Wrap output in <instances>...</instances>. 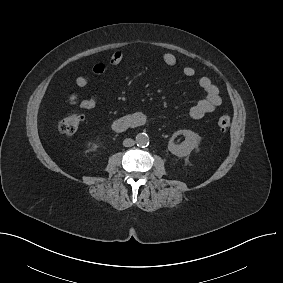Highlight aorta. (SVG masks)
<instances>
[{
  "label": "aorta",
  "instance_id": "1",
  "mask_svg": "<svg viewBox=\"0 0 283 283\" xmlns=\"http://www.w3.org/2000/svg\"><path fill=\"white\" fill-rule=\"evenodd\" d=\"M136 143L139 147H147L149 145V136L145 133H139L136 136Z\"/></svg>",
  "mask_w": 283,
  "mask_h": 283
}]
</instances>
